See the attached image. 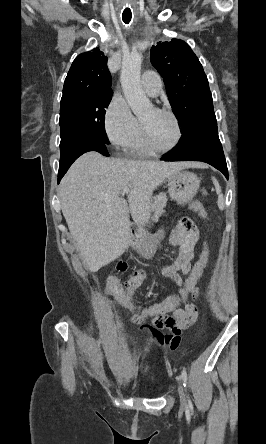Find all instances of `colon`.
<instances>
[{"label":"colon","instance_id":"colon-1","mask_svg":"<svg viewBox=\"0 0 266 444\" xmlns=\"http://www.w3.org/2000/svg\"><path fill=\"white\" fill-rule=\"evenodd\" d=\"M194 210L202 218H207L203 205L199 202L190 204ZM210 259L208 244L206 243L198 260L192 266L191 271L182 278V283L176 293L168 296L164 300L152 304H141L135 296L133 283L127 279L118 284L114 291L113 303H120L129 310L130 315L139 319L163 318L167 314L178 309L179 306L186 302L189 295L196 289V286L202 278Z\"/></svg>","mask_w":266,"mask_h":444}]
</instances>
